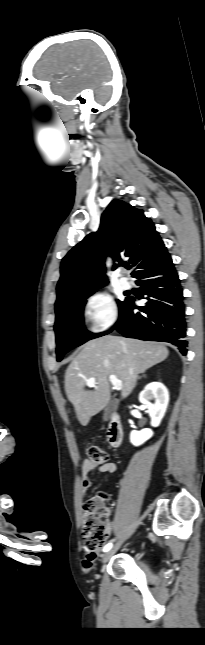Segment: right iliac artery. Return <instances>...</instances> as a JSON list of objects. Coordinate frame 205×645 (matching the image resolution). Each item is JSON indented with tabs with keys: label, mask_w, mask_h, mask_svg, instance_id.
<instances>
[{
	"label": "right iliac artery",
	"mask_w": 205,
	"mask_h": 645,
	"mask_svg": "<svg viewBox=\"0 0 205 645\" xmlns=\"http://www.w3.org/2000/svg\"><path fill=\"white\" fill-rule=\"evenodd\" d=\"M111 548H112V543H108V544L104 547L103 551H104V552H107V551H108V550H110Z\"/></svg>",
	"instance_id": "82829eb1"
}]
</instances>
